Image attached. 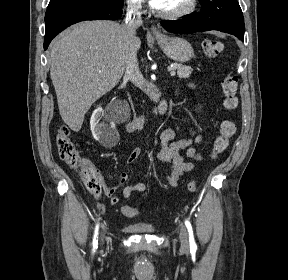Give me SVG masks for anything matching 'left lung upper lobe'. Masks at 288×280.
Returning a JSON list of instances; mask_svg holds the SVG:
<instances>
[{"instance_id": "left-lung-upper-lobe-1", "label": "left lung upper lobe", "mask_w": 288, "mask_h": 280, "mask_svg": "<svg viewBox=\"0 0 288 280\" xmlns=\"http://www.w3.org/2000/svg\"><path fill=\"white\" fill-rule=\"evenodd\" d=\"M206 16L227 23L240 31L245 30L244 17L237 0H199Z\"/></svg>"}]
</instances>
